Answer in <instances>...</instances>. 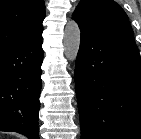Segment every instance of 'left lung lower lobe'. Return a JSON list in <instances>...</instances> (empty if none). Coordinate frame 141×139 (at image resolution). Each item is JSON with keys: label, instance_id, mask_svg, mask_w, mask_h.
I'll use <instances>...</instances> for the list:
<instances>
[{"label": "left lung lower lobe", "instance_id": "left-lung-lower-lobe-1", "mask_svg": "<svg viewBox=\"0 0 141 139\" xmlns=\"http://www.w3.org/2000/svg\"><path fill=\"white\" fill-rule=\"evenodd\" d=\"M80 30L75 84L81 139H141V59L136 44Z\"/></svg>", "mask_w": 141, "mask_h": 139}]
</instances>
